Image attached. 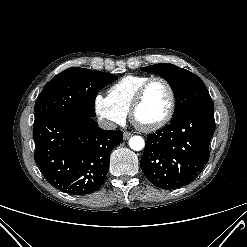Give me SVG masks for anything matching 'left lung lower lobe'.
<instances>
[{
  "label": "left lung lower lobe",
  "instance_id": "0a47b994",
  "mask_svg": "<svg viewBox=\"0 0 247 247\" xmlns=\"http://www.w3.org/2000/svg\"><path fill=\"white\" fill-rule=\"evenodd\" d=\"M214 113L191 112L147 136L140 166L156 187L175 189L194 181L209 159Z\"/></svg>",
  "mask_w": 247,
  "mask_h": 247
}]
</instances>
